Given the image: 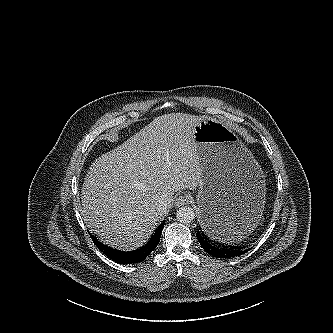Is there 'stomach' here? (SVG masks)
<instances>
[{"instance_id": "1", "label": "stomach", "mask_w": 333, "mask_h": 333, "mask_svg": "<svg viewBox=\"0 0 333 333\" xmlns=\"http://www.w3.org/2000/svg\"><path fill=\"white\" fill-rule=\"evenodd\" d=\"M194 141L202 170L197 194L200 226L218 244L237 245L260 221L264 173L232 129L216 118L195 126Z\"/></svg>"}]
</instances>
